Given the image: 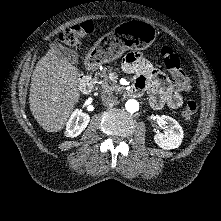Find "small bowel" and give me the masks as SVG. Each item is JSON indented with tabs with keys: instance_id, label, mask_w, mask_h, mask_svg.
<instances>
[{
	"instance_id": "1",
	"label": "small bowel",
	"mask_w": 221,
	"mask_h": 221,
	"mask_svg": "<svg viewBox=\"0 0 221 221\" xmlns=\"http://www.w3.org/2000/svg\"><path fill=\"white\" fill-rule=\"evenodd\" d=\"M122 68L127 73H135L134 86L138 95L146 92L149 95L151 106L160 109L167 105L171 109H178L183 104L181 92L187 89H180L174 82L146 59L141 53L129 52L123 59Z\"/></svg>"
}]
</instances>
